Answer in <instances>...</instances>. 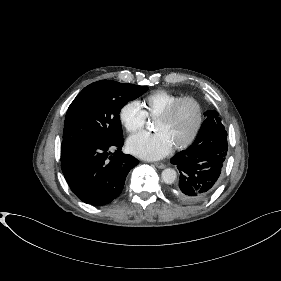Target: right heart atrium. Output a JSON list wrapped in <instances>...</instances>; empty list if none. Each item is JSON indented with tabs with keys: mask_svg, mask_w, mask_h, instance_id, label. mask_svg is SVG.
Listing matches in <instances>:
<instances>
[{
	"mask_svg": "<svg viewBox=\"0 0 281 281\" xmlns=\"http://www.w3.org/2000/svg\"><path fill=\"white\" fill-rule=\"evenodd\" d=\"M118 118L129 133L140 131L146 122V115L137 101L131 100L121 106Z\"/></svg>",
	"mask_w": 281,
	"mask_h": 281,
	"instance_id": "d8ad5b80",
	"label": "right heart atrium"
}]
</instances>
